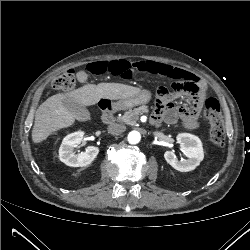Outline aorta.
<instances>
[{
  "instance_id": "aorta-1",
  "label": "aorta",
  "mask_w": 250,
  "mask_h": 250,
  "mask_svg": "<svg viewBox=\"0 0 250 250\" xmlns=\"http://www.w3.org/2000/svg\"><path fill=\"white\" fill-rule=\"evenodd\" d=\"M141 139V135L138 131H131L128 134V142L130 144H137Z\"/></svg>"
}]
</instances>
